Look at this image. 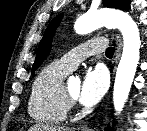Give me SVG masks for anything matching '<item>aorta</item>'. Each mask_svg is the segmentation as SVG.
Wrapping results in <instances>:
<instances>
[{
  "label": "aorta",
  "instance_id": "aorta-1",
  "mask_svg": "<svg viewBox=\"0 0 147 131\" xmlns=\"http://www.w3.org/2000/svg\"><path fill=\"white\" fill-rule=\"evenodd\" d=\"M102 26L117 28L123 36V52L113 91L114 108L120 113L128 99L140 58V33L137 24L127 13L113 9L86 13L76 20L74 28L78 34H87Z\"/></svg>",
  "mask_w": 147,
  "mask_h": 131
}]
</instances>
